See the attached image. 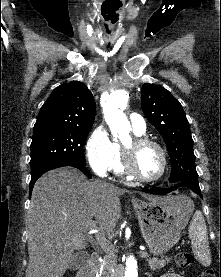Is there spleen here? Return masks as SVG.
<instances>
[{
	"label": "spleen",
	"mask_w": 221,
	"mask_h": 277,
	"mask_svg": "<svg viewBox=\"0 0 221 277\" xmlns=\"http://www.w3.org/2000/svg\"><path fill=\"white\" fill-rule=\"evenodd\" d=\"M192 212V210H191ZM192 251L196 259L205 266L210 265V249L207 228L204 217L200 211H196L189 226Z\"/></svg>",
	"instance_id": "3e777b00"
}]
</instances>
